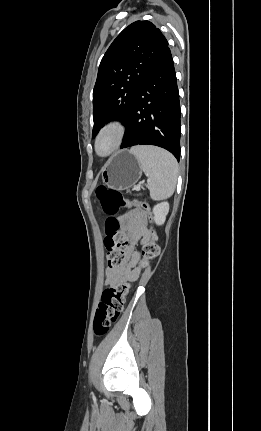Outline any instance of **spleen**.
Returning a JSON list of instances; mask_svg holds the SVG:
<instances>
[{
	"label": "spleen",
	"instance_id": "1",
	"mask_svg": "<svg viewBox=\"0 0 261 431\" xmlns=\"http://www.w3.org/2000/svg\"><path fill=\"white\" fill-rule=\"evenodd\" d=\"M148 177V189L153 200H163L170 197L176 186L178 164L175 157L152 146H136L130 149Z\"/></svg>",
	"mask_w": 261,
	"mask_h": 431
}]
</instances>
